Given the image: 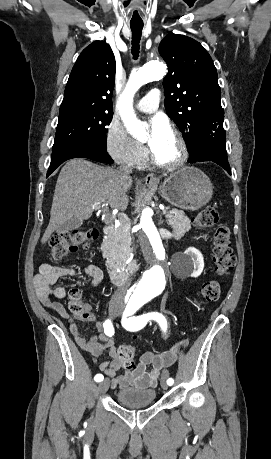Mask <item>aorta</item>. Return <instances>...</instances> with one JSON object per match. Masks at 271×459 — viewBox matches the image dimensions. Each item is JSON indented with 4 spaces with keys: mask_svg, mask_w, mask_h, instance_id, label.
Instances as JSON below:
<instances>
[{
    "mask_svg": "<svg viewBox=\"0 0 271 459\" xmlns=\"http://www.w3.org/2000/svg\"><path fill=\"white\" fill-rule=\"evenodd\" d=\"M167 72L166 65L151 61L131 73L129 81L119 98V111L127 130L137 138L145 137V128L136 119L133 111V97L144 84L162 79ZM134 214L138 219V240L147 263V269L140 277L136 289L150 297L158 296L166 286L168 254L154 223V211L149 197L139 192L133 202Z\"/></svg>",
    "mask_w": 271,
    "mask_h": 459,
    "instance_id": "obj_1",
    "label": "aorta"
}]
</instances>
